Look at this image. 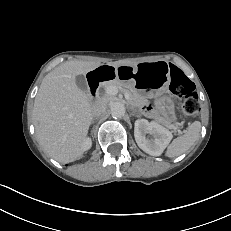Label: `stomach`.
Masks as SVG:
<instances>
[{
    "label": "stomach",
    "instance_id": "stomach-1",
    "mask_svg": "<svg viewBox=\"0 0 231 231\" xmlns=\"http://www.w3.org/2000/svg\"><path fill=\"white\" fill-rule=\"evenodd\" d=\"M130 69V82L137 91L146 97H154L160 119L170 124L176 119L174 101L166 95L170 85V66L165 61L139 62L135 66L124 65L118 68ZM116 69V72L118 70Z\"/></svg>",
    "mask_w": 231,
    "mask_h": 231
}]
</instances>
